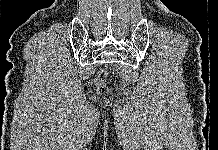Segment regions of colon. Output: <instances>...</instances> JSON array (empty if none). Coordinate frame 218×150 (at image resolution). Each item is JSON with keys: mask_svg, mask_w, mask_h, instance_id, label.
Here are the masks:
<instances>
[{"mask_svg": "<svg viewBox=\"0 0 218 150\" xmlns=\"http://www.w3.org/2000/svg\"><path fill=\"white\" fill-rule=\"evenodd\" d=\"M106 76H107V70L102 69L99 71L98 77H97V84H98V90L100 93L106 92V86L104 85Z\"/></svg>", "mask_w": 218, "mask_h": 150, "instance_id": "1", "label": "colon"}]
</instances>
